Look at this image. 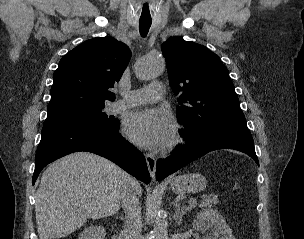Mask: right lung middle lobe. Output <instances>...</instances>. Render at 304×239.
Wrapping results in <instances>:
<instances>
[{
  "instance_id": "obj_1",
  "label": "right lung middle lobe",
  "mask_w": 304,
  "mask_h": 239,
  "mask_svg": "<svg viewBox=\"0 0 304 239\" xmlns=\"http://www.w3.org/2000/svg\"><path fill=\"white\" fill-rule=\"evenodd\" d=\"M104 107L105 106L47 117L42 130L63 127L113 128L119 124V120L108 117L106 113L103 112Z\"/></svg>"
}]
</instances>
